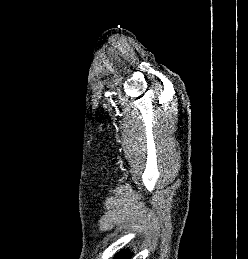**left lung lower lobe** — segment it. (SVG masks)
Masks as SVG:
<instances>
[{
  "label": "left lung lower lobe",
  "mask_w": 248,
  "mask_h": 259,
  "mask_svg": "<svg viewBox=\"0 0 248 259\" xmlns=\"http://www.w3.org/2000/svg\"><path fill=\"white\" fill-rule=\"evenodd\" d=\"M131 257V253H129V252H125V251H123V252H120V253H118L116 256H115V258L114 259H129Z\"/></svg>",
  "instance_id": "left-lung-lower-lobe-1"
}]
</instances>
